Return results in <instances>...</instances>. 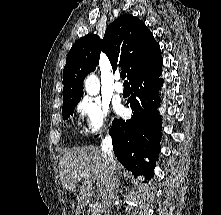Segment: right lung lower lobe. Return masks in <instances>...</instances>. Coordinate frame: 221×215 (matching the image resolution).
<instances>
[{
  "label": "right lung lower lobe",
  "instance_id": "right-lung-lower-lobe-1",
  "mask_svg": "<svg viewBox=\"0 0 221 215\" xmlns=\"http://www.w3.org/2000/svg\"><path fill=\"white\" fill-rule=\"evenodd\" d=\"M162 58H159L131 80L132 95L128 100L133 110L129 120L114 119L109 131L114 153L124 167L134 175L154 176V165L160 152L161 118L157 90L162 80ZM148 157L150 162H145Z\"/></svg>",
  "mask_w": 221,
  "mask_h": 215
}]
</instances>
